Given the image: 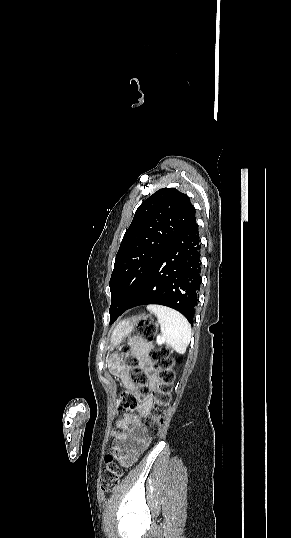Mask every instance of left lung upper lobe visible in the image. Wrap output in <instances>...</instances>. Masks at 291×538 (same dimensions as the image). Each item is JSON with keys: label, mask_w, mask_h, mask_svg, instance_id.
Returning a JSON list of instances; mask_svg holds the SVG:
<instances>
[{"label": "left lung upper lobe", "mask_w": 291, "mask_h": 538, "mask_svg": "<svg viewBox=\"0 0 291 538\" xmlns=\"http://www.w3.org/2000/svg\"><path fill=\"white\" fill-rule=\"evenodd\" d=\"M194 218L190 198L175 188H162L142 202L115 258L110 314L135 298L159 256Z\"/></svg>", "instance_id": "1"}]
</instances>
